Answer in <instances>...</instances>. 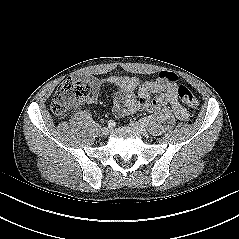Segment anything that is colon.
I'll return each instance as SVG.
<instances>
[{
	"instance_id": "1",
	"label": "colon",
	"mask_w": 239,
	"mask_h": 239,
	"mask_svg": "<svg viewBox=\"0 0 239 239\" xmlns=\"http://www.w3.org/2000/svg\"><path fill=\"white\" fill-rule=\"evenodd\" d=\"M160 75L173 83L178 79L173 72H161ZM88 95L89 91L84 83L73 78H67L61 82L55 91L51 102V110L56 117L64 118L73 108L84 103ZM177 95L186 106L191 108L198 106L197 97L186 86H178Z\"/></svg>"
}]
</instances>
